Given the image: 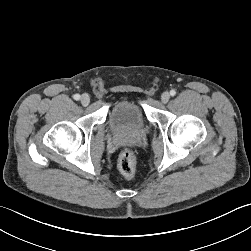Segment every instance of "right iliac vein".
<instances>
[{"mask_svg": "<svg viewBox=\"0 0 251 251\" xmlns=\"http://www.w3.org/2000/svg\"><path fill=\"white\" fill-rule=\"evenodd\" d=\"M80 101L83 106H87L90 103V97L88 94H83L80 98Z\"/></svg>", "mask_w": 251, "mask_h": 251, "instance_id": "obj_1", "label": "right iliac vein"}]
</instances>
